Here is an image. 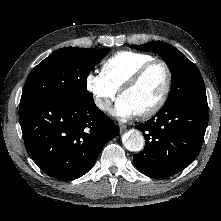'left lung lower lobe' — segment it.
<instances>
[{"instance_id":"left-lung-lower-lobe-1","label":"left lung lower lobe","mask_w":221,"mask_h":221,"mask_svg":"<svg viewBox=\"0 0 221 221\" xmlns=\"http://www.w3.org/2000/svg\"><path fill=\"white\" fill-rule=\"evenodd\" d=\"M207 124L206 98L166 102L154 117L136 126L146 139L144 150L133 157L136 168L152 178L180 172L200 152Z\"/></svg>"}]
</instances>
